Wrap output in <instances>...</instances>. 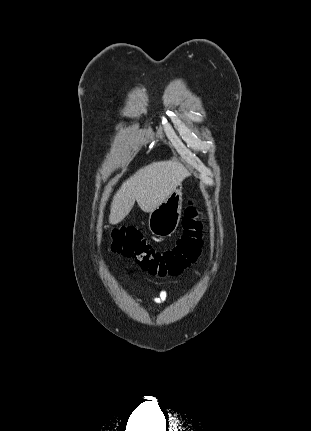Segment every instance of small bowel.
Wrapping results in <instances>:
<instances>
[{
    "label": "small bowel",
    "mask_w": 311,
    "mask_h": 431,
    "mask_svg": "<svg viewBox=\"0 0 311 431\" xmlns=\"http://www.w3.org/2000/svg\"><path fill=\"white\" fill-rule=\"evenodd\" d=\"M149 299L154 303L160 304L167 299V292L162 290L157 296H151Z\"/></svg>",
    "instance_id": "obj_1"
}]
</instances>
